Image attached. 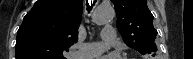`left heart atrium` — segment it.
<instances>
[{
    "instance_id": "39dd6f15",
    "label": "left heart atrium",
    "mask_w": 193,
    "mask_h": 59,
    "mask_svg": "<svg viewBox=\"0 0 193 59\" xmlns=\"http://www.w3.org/2000/svg\"><path fill=\"white\" fill-rule=\"evenodd\" d=\"M98 59H119V58H118V56H116L114 54H109V55L101 56Z\"/></svg>"
}]
</instances>
